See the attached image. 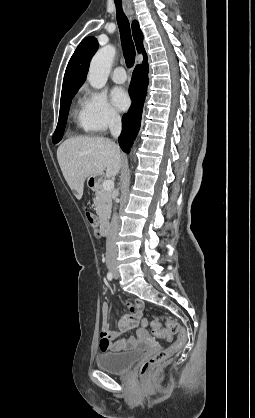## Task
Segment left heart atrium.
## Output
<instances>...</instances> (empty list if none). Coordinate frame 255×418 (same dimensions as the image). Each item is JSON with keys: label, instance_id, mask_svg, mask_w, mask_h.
Masks as SVG:
<instances>
[{"label": "left heart atrium", "instance_id": "left-heart-atrium-1", "mask_svg": "<svg viewBox=\"0 0 255 418\" xmlns=\"http://www.w3.org/2000/svg\"><path fill=\"white\" fill-rule=\"evenodd\" d=\"M111 99L114 106L119 110H125L130 105V99L127 92L120 87H115L111 91Z\"/></svg>", "mask_w": 255, "mask_h": 418}]
</instances>
